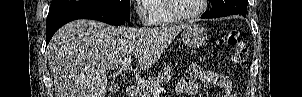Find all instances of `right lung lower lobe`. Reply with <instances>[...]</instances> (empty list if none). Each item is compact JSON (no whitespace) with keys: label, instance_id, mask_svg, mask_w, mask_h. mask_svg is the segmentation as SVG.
<instances>
[{"label":"right lung lower lobe","instance_id":"right-lung-lower-lobe-1","mask_svg":"<svg viewBox=\"0 0 302 97\" xmlns=\"http://www.w3.org/2000/svg\"><path fill=\"white\" fill-rule=\"evenodd\" d=\"M77 19H93L115 26L123 25L126 22L117 14L97 7H80L48 14L46 21V46L61 26Z\"/></svg>","mask_w":302,"mask_h":97}]
</instances>
